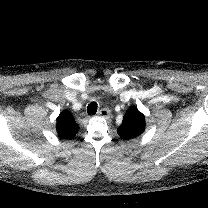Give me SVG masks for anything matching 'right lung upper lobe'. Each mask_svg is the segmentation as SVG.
Here are the masks:
<instances>
[{
    "instance_id": "cb5924a9",
    "label": "right lung upper lobe",
    "mask_w": 208,
    "mask_h": 208,
    "mask_svg": "<svg viewBox=\"0 0 208 208\" xmlns=\"http://www.w3.org/2000/svg\"><path fill=\"white\" fill-rule=\"evenodd\" d=\"M57 132L62 139H71L79 131V126L75 122L69 111H62L57 117Z\"/></svg>"
}]
</instances>
